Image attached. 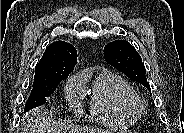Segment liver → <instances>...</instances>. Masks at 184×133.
Returning a JSON list of instances; mask_svg holds the SVG:
<instances>
[{
	"label": "liver",
	"instance_id": "liver-1",
	"mask_svg": "<svg viewBox=\"0 0 184 133\" xmlns=\"http://www.w3.org/2000/svg\"><path fill=\"white\" fill-rule=\"evenodd\" d=\"M26 122L25 128L28 133H54L56 130L54 129V125L50 123V118L47 115V111H45L42 107L35 108L25 116ZM69 133H105V131L101 129L94 128H81V127H72L67 128ZM67 130L65 132H67Z\"/></svg>",
	"mask_w": 184,
	"mask_h": 133
}]
</instances>
